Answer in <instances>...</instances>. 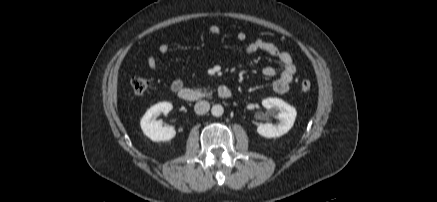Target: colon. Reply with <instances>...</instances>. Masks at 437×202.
<instances>
[{
  "mask_svg": "<svg viewBox=\"0 0 437 202\" xmlns=\"http://www.w3.org/2000/svg\"><path fill=\"white\" fill-rule=\"evenodd\" d=\"M151 80L145 77H133L131 79V87L135 94L142 95L146 93L151 87ZM312 83L309 79H303L300 82L302 91L307 92L311 89Z\"/></svg>",
  "mask_w": 437,
  "mask_h": 202,
  "instance_id": "5ec220e1",
  "label": "colon"
}]
</instances>
